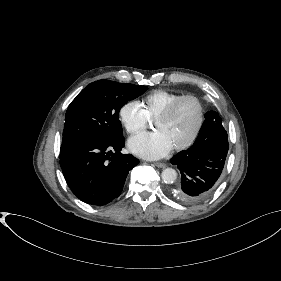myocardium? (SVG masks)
<instances>
[{"label": "myocardium", "mask_w": 281, "mask_h": 281, "mask_svg": "<svg viewBox=\"0 0 281 281\" xmlns=\"http://www.w3.org/2000/svg\"><path fill=\"white\" fill-rule=\"evenodd\" d=\"M187 100H192V101L196 102V104L198 106V120H197L196 127H195L193 133L190 135V137L187 140H185L184 142L173 147V149L175 151H181V150H185V149L189 148L198 138V136L201 132V129L203 127L204 115H205V109H204V104H203L202 100L196 95H192V94L182 95L178 99L171 102L168 106H166L154 119V121H155V120H165V119L169 118L171 116V114L175 111V109L182 102L187 101Z\"/></svg>", "instance_id": "1"}]
</instances>
